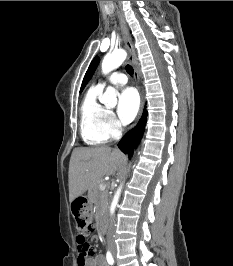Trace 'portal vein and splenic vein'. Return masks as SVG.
<instances>
[{"label":"portal vein and splenic vein","mask_w":233,"mask_h":266,"mask_svg":"<svg viewBox=\"0 0 233 266\" xmlns=\"http://www.w3.org/2000/svg\"><path fill=\"white\" fill-rule=\"evenodd\" d=\"M99 188H100V190H104L106 188V185L105 184H100Z\"/></svg>","instance_id":"obj_1"}]
</instances>
